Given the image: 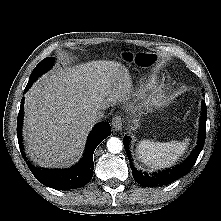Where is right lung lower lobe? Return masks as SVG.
Wrapping results in <instances>:
<instances>
[{
	"label": "right lung lower lobe",
	"instance_id": "1",
	"mask_svg": "<svg viewBox=\"0 0 221 221\" xmlns=\"http://www.w3.org/2000/svg\"><path fill=\"white\" fill-rule=\"evenodd\" d=\"M32 85V84H31ZM26 86L24 92H26L30 86ZM23 98L21 100L20 111L17 119V137L21 154L24 160L25 157L22 140H21V127L23 119ZM111 134V127L108 122L99 123L91 132L86 151L83 158L74 166L65 170H49L43 168H37L26 161L30 171L35 178L43 185L57 189V190H69L83 187L87 184L93 176V153L98 144Z\"/></svg>",
	"mask_w": 221,
	"mask_h": 221
}]
</instances>
